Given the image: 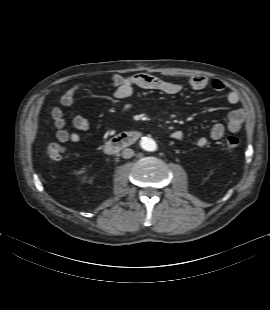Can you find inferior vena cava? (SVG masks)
<instances>
[{
  "label": "inferior vena cava",
  "instance_id": "1",
  "mask_svg": "<svg viewBox=\"0 0 270 310\" xmlns=\"http://www.w3.org/2000/svg\"><path fill=\"white\" fill-rule=\"evenodd\" d=\"M134 156V151L130 148H125L123 151H122V157L125 158V159H129L131 157Z\"/></svg>",
  "mask_w": 270,
  "mask_h": 310
}]
</instances>
